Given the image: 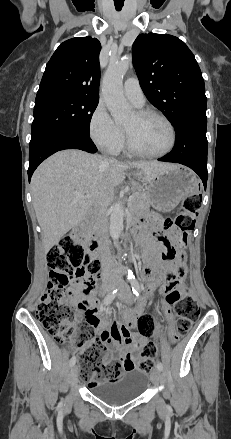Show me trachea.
<instances>
[{"label":"trachea","mask_w":231,"mask_h":439,"mask_svg":"<svg viewBox=\"0 0 231 439\" xmlns=\"http://www.w3.org/2000/svg\"><path fill=\"white\" fill-rule=\"evenodd\" d=\"M117 11H120L124 5V2H114Z\"/></svg>","instance_id":"trachea-1"}]
</instances>
